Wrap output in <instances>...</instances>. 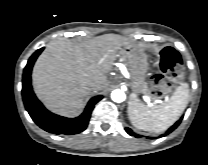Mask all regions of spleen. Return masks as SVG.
Wrapping results in <instances>:
<instances>
[{
    "instance_id": "obj_1",
    "label": "spleen",
    "mask_w": 208,
    "mask_h": 165,
    "mask_svg": "<svg viewBox=\"0 0 208 165\" xmlns=\"http://www.w3.org/2000/svg\"><path fill=\"white\" fill-rule=\"evenodd\" d=\"M188 99L189 88L186 83L179 86L168 101L154 107L143 104L132 94L128 103V117L137 129L161 133L179 119Z\"/></svg>"
}]
</instances>
